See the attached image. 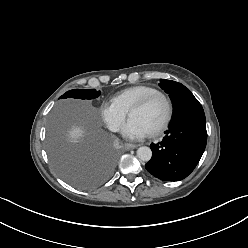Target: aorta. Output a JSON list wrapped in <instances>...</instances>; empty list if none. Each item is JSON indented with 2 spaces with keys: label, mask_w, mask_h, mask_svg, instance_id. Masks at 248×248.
Here are the masks:
<instances>
[{
  "label": "aorta",
  "mask_w": 248,
  "mask_h": 248,
  "mask_svg": "<svg viewBox=\"0 0 248 248\" xmlns=\"http://www.w3.org/2000/svg\"><path fill=\"white\" fill-rule=\"evenodd\" d=\"M137 157L142 161H149L152 157V151L147 146L139 147L137 150Z\"/></svg>",
  "instance_id": "762f6f07"
}]
</instances>
